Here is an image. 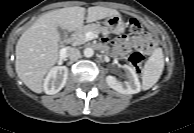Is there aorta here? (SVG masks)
Masks as SVG:
<instances>
[{
  "mask_svg": "<svg viewBox=\"0 0 194 133\" xmlns=\"http://www.w3.org/2000/svg\"><path fill=\"white\" fill-rule=\"evenodd\" d=\"M94 54V50L90 47H87L84 49V56L89 58V57H92Z\"/></svg>",
  "mask_w": 194,
  "mask_h": 133,
  "instance_id": "1",
  "label": "aorta"
}]
</instances>
